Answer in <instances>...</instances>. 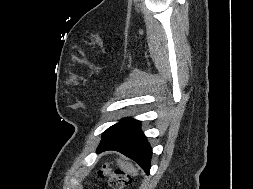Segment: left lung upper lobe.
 Masks as SVG:
<instances>
[{
	"label": "left lung upper lobe",
	"instance_id": "1",
	"mask_svg": "<svg viewBox=\"0 0 253 189\" xmlns=\"http://www.w3.org/2000/svg\"><path fill=\"white\" fill-rule=\"evenodd\" d=\"M131 120H132L131 118H126V119L120 121L119 123H117V124H115V125L109 127V128L104 132V134H106V133H108V132L114 130L115 128H117V127H119V126H121V125H123V124H125V123H127V122H129V121H131Z\"/></svg>",
	"mask_w": 253,
	"mask_h": 189
}]
</instances>
